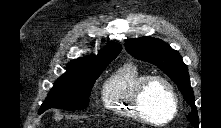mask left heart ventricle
Masks as SVG:
<instances>
[{
  "label": "left heart ventricle",
  "instance_id": "1",
  "mask_svg": "<svg viewBox=\"0 0 221 128\" xmlns=\"http://www.w3.org/2000/svg\"><path fill=\"white\" fill-rule=\"evenodd\" d=\"M145 112L155 122L165 121L172 113V106L166 88L158 82L145 91L142 101Z\"/></svg>",
  "mask_w": 221,
  "mask_h": 128
}]
</instances>
